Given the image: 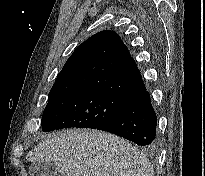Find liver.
Returning <instances> with one entry per match:
<instances>
[{"label":"liver","mask_w":205,"mask_h":176,"mask_svg":"<svg viewBox=\"0 0 205 176\" xmlns=\"http://www.w3.org/2000/svg\"><path fill=\"white\" fill-rule=\"evenodd\" d=\"M26 159L50 162L60 176H154L150 161L131 143L96 130L52 133Z\"/></svg>","instance_id":"obj_1"}]
</instances>
